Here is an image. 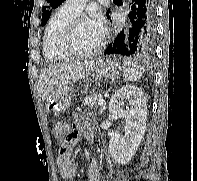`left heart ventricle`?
Here are the masks:
<instances>
[{
	"label": "left heart ventricle",
	"instance_id": "left-heart-ventricle-1",
	"mask_svg": "<svg viewBox=\"0 0 197 181\" xmlns=\"http://www.w3.org/2000/svg\"><path fill=\"white\" fill-rule=\"evenodd\" d=\"M102 33L93 27L90 21L80 23L74 33L73 45L78 51H89L95 48Z\"/></svg>",
	"mask_w": 197,
	"mask_h": 181
}]
</instances>
